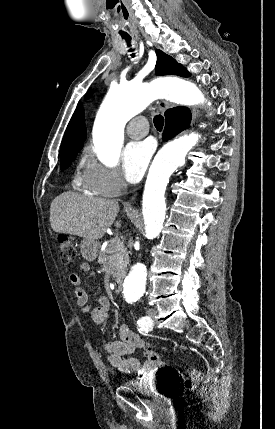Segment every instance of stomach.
Wrapping results in <instances>:
<instances>
[{
	"instance_id": "0dacf381",
	"label": "stomach",
	"mask_w": 275,
	"mask_h": 429,
	"mask_svg": "<svg viewBox=\"0 0 275 429\" xmlns=\"http://www.w3.org/2000/svg\"><path fill=\"white\" fill-rule=\"evenodd\" d=\"M81 253L88 261H94L98 255L99 242L96 240L83 239L81 244Z\"/></svg>"
}]
</instances>
